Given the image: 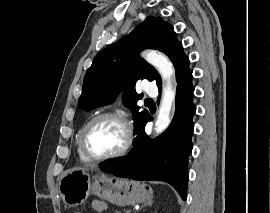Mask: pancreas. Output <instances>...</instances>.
I'll use <instances>...</instances> for the list:
<instances>
[{
  "mask_svg": "<svg viewBox=\"0 0 270 213\" xmlns=\"http://www.w3.org/2000/svg\"><path fill=\"white\" fill-rule=\"evenodd\" d=\"M115 213H120V212L116 211ZM127 213H129V212H127Z\"/></svg>",
  "mask_w": 270,
  "mask_h": 213,
  "instance_id": "cf45deb5",
  "label": "pancreas"
}]
</instances>
